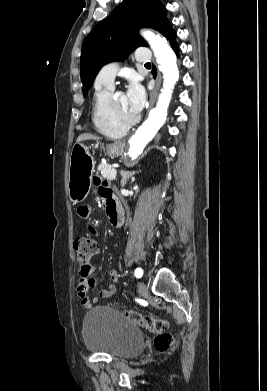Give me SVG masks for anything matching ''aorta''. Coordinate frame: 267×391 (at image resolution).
Returning <instances> with one entry per match:
<instances>
[{"instance_id": "obj_1", "label": "aorta", "mask_w": 267, "mask_h": 391, "mask_svg": "<svg viewBox=\"0 0 267 391\" xmlns=\"http://www.w3.org/2000/svg\"><path fill=\"white\" fill-rule=\"evenodd\" d=\"M142 35L150 44L159 64V70L163 74V88L159 94L156 107L150 111L149 117L129 141L128 154L130 157L138 156L165 123L172 92L179 79L176 55L166 39L150 31H144Z\"/></svg>"}]
</instances>
